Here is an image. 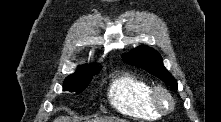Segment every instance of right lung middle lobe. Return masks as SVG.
<instances>
[{"label":"right lung middle lobe","mask_w":221,"mask_h":122,"mask_svg":"<svg viewBox=\"0 0 221 122\" xmlns=\"http://www.w3.org/2000/svg\"><path fill=\"white\" fill-rule=\"evenodd\" d=\"M98 73V69L83 75L68 76L63 84V90L80 93L88 86L92 76Z\"/></svg>","instance_id":"right-lung-middle-lobe-1"}]
</instances>
